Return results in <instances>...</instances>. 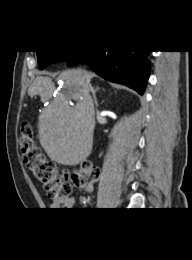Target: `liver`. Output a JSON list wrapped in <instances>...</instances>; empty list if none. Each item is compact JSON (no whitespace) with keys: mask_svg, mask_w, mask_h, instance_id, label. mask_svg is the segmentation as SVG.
I'll return each mask as SVG.
<instances>
[{"mask_svg":"<svg viewBox=\"0 0 192 260\" xmlns=\"http://www.w3.org/2000/svg\"><path fill=\"white\" fill-rule=\"evenodd\" d=\"M94 76L82 69L61 72L57 80L62 89L53 99L55 85L50 77L37 76L28 90L50 101L39 115L38 138L48 157L59 164L75 166L91 154L95 111L89 83ZM70 99L77 101L75 107H70Z\"/></svg>","mask_w":192,"mask_h":260,"instance_id":"1","label":"liver"}]
</instances>
